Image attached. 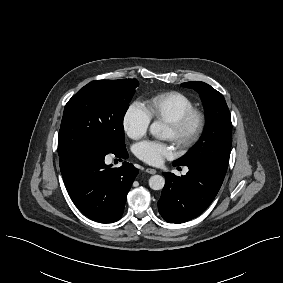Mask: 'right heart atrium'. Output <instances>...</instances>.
<instances>
[{
  "label": "right heart atrium",
  "instance_id": "d8ad5b80",
  "mask_svg": "<svg viewBox=\"0 0 283 283\" xmlns=\"http://www.w3.org/2000/svg\"><path fill=\"white\" fill-rule=\"evenodd\" d=\"M151 118L146 107L140 101L132 102L123 116V127L126 134L132 139L143 137L150 126Z\"/></svg>",
  "mask_w": 283,
  "mask_h": 283
}]
</instances>
